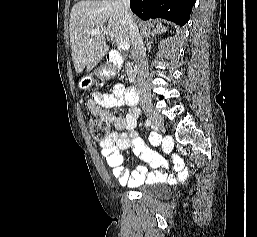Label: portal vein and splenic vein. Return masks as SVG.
Listing matches in <instances>:
<instances>
[{"label": "portal vein and splenic vein", "instance_id": "18ae733b", "mask_svg": "<svg viewBox=\"0 0 257 237\" xmlns=\"http://www.w3.org/2000/svg\"><path fill=\"white\" fill-rule=\"evenodd\" d=\"M102 34H103V32H102L101 30H99V29H93V30L91 31V35H92V36H95V35H102ZM119 48H120L121 50H123V51L129 50V49H130V44L127 43V42H121V43L119 44Z\"/></svg>", "mask_w": 257, "mask_h": 237}]
</instances>
